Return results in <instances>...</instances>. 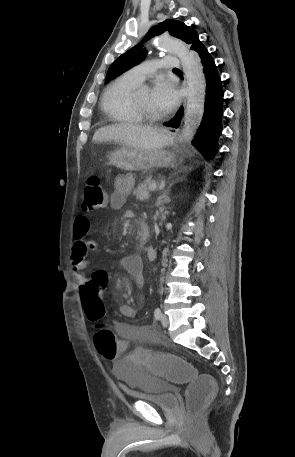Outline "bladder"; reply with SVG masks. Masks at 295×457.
I'll return each instance as SVG.
<instances>
[{"instance_id":"1","label":"bladder","mask_w":295,"mask_h":457,"mask_svg":"<svg viewBox=\"0 0 295 457\" xmlns=\"http://www.w3.org/2000/svg\"><path fill=\"white\" fill-rule=\"evenodd\" d=\"M126 359L115 362L113 373L132 397L154 403L162 411H179L180 404L170 390L169 378H161V374H144L141 366L127 365Z\"/></svg>"}]
</instances>
